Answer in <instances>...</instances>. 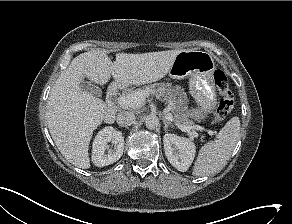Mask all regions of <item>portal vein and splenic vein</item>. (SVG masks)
<instances>
[{"mask_svg": "<svg viewBox=\"0 0 292 224\" xmlns=\"http://www.w3.org/2000/svg\"><path fill=\"white\" fill-rule=\"evenodd\" d=\"M148 94L149 93L145 92V91H136L134 93L118 97L117 103L120 107H122L124 109L138 107V106L143 105L145 98ZM157 98L160 99V97L158 95H157ZM165 118L169 121H173V116L169 112L168 108L165 109ZM176 126L181 131L191 133L194 137H197L198 134L196 132H190L191 129H196V130H200V131H202L204 129L203 127L197 126V125L193 126V127H189V126H183L181 124H176ZM208 134L214 135V132L211 130H208Z\"/></svg>", "mask_w": 292, "mask_h": 224, "instance_id": "1", "label": "portal vein and splenic vein"}]
</instances>
